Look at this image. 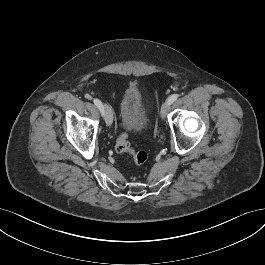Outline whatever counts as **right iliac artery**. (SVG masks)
Returning a JSON list of instances; mask_svg holds the SVG:
<instances>
[{
  "mask_svg": "<svg viewBox=\"0 0 265 265\" xmlns=\"http://www.w3.org/2000/svg\"><path fill=\"white\" fill-rule=\"evenodd\" d=\"M93 102L98 107V109L101 111V113H103V105H102V102L100 100H98V99H94Z\"/></svg>",
  "mask_w": 265,
  "mask_h": 265,
  "instance_id": "1",
  "label": "right iliac artery"
}]
</instances>
